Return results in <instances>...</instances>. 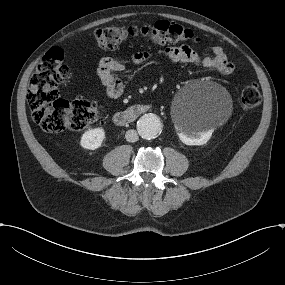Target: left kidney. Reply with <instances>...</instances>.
<instances>
[{"instance_id": "obj_1", "label": "left kidney", "mask_w": 285, "mask_h": 285, "mask_svg": "<svg viewBox=\"0 0 285 285\" xmlns=\"http://www.w3.org/2000/svg\"><path fill=\"white\" fill-rule=\"evenodd\" d=\"M212 136V131L201 132L196 137H187L185 136L184 143L186 145H203L206 144Z\"/></svg>"}]
</instances>
